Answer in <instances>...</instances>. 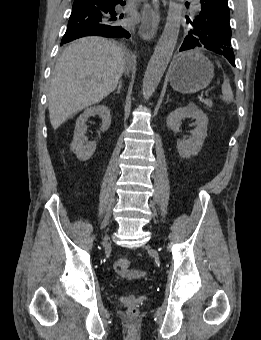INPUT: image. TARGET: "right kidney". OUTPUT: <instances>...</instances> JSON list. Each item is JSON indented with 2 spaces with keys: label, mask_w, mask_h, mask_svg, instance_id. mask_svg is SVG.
<instances>
[{
  "label": "right kidney",
  "mask_w": 261,
  "mask_h": 340,
  "mask_svg": "<svg viewBox=\"0 0 261 340\" xmlns=\"http://www.w3.org/2000/svg\"><path fill=\"white\" fill-rule=\"evenodd\" d=\"M99 115L102 118L101 131L108 130L111 124L110 109L104 105H98L87 108L77 119L74 130L71 150L81 161L88 160L94 153L97 143L95 141L88 142L85 134L87 132L86 121L89 117Z\"/></svg>",
  "instance_id": "right-kidney-1"
}]
</instances>
